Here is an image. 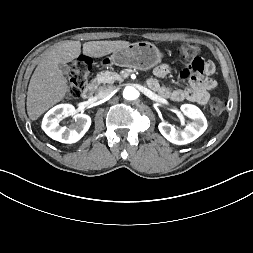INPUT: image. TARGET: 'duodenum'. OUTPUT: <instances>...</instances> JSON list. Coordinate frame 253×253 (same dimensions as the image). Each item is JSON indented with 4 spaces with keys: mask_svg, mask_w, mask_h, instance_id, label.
I'll list each match as a JSON object with an SVG mask.
<instances>
[{
    "mask_svg": "<svg viewBox=\"0 0 253 253\" xmlns=\"http://www.w3.org/2000/svg\"><path fill=\"white\" fill-rule=\"evenodd\" d=\"M95 89H96V81H92L83 90V97L85 99L91 98L93 96L94 92H95Z\"/></svg>",
    "mask_w": 253,
    "mask_h": 253,
    "instance_id": "1",
    "label": "duodenum"
}]
</instances>
